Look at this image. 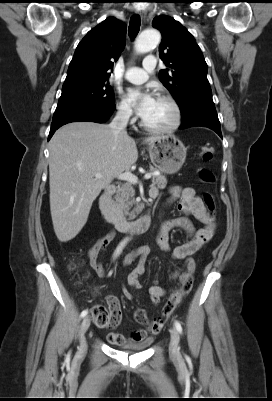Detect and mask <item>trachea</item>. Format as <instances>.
<instances>
[{
  "instance_id": "1",
  "label": "trachea",
  "mask_w": 272,
  "mask_h": 401,
  "mask_svg": "<svg viewBox=\"0 0 272 401\" xmlns=\"http://www.w3.org/2000/svg\"><path fill=\"white\" fill-rule=\"evenodd\" d=\"M140 30V17L138 15H133L129 23V36L134 39Z\"/></svg>"
}]
</instances>
